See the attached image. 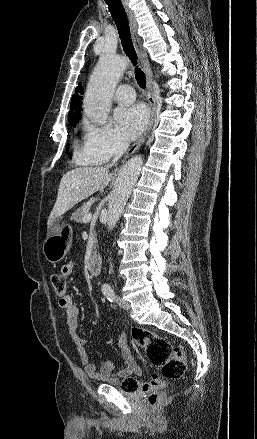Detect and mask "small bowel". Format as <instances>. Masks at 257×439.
Here are the masks:
<instances>
[{"label":"small bowel","mask_w":257,"mask_h":439,"mask_svg":"<svg viewBox=\"0 0 257 439\" xmlns=\"http://www.w3.org/2000/svg\"><path fill=\"white\" fill-rule=\"evenodd\" d=\"M73 271V263L67 262L61 268V275L67 277L71 275ZM58 303L59 306L65 310L67 333L75 344V352L84 367L85 374L89 378L95 381L118 384L122 379L128 378L130 375L140 374V368L132 355L127 338L123 334L119 336L117 343L121 355L120 364L122 368L117 369L116 364L105 362L100 370H97L95 364L87 353L86 340L81 338L78 334L79 307L74 303L73 298L70 295L60 298Z\"/></svg>","instance_id":"obj_1"}]
</instances>
